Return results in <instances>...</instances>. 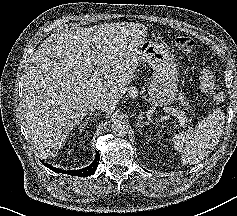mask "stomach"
Instances as JSON below:
<instances>
[{
    "label": "stomach",
    "mask_w": 237,
    "mask_h": 216,
    "mask_svg": "<svg viewBox=\"0 0 237 216\" xmlns=\"http://www.w3.org/2000/svg\"><path fill=\"white\" fill-rule=\"evenodd\" d=\"M141 59L151 64L156 72L150 99L159 106L169 105L177 95V77L173 57L162 44L145 41L140 49Z\"/></svg>",
    "instance_id": "0dacf381"
}]
</instances>
